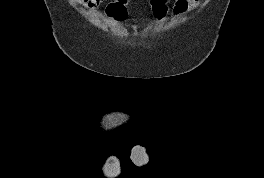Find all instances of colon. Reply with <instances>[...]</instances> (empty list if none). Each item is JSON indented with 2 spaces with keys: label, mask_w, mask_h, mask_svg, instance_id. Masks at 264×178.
<instances>
[{
  "label": "colon",
  "mask_w": 264,
  "mask_h": 178,
  "mask_svg": "<svg viewBox=\"0 0 264 178\" xmlns=\"http://www.w3.org/2000/svg\"><path fill=\"white\" fill-rule=\"evenodd\" d=\"M129 0H112L105 7L106 15L117 23L124 22L128 17ZM170 0H150V10L156 20L164 19L169 11Z\"/></svg>",
  "instance_id": "5ec220e1"
}]
</instances>
